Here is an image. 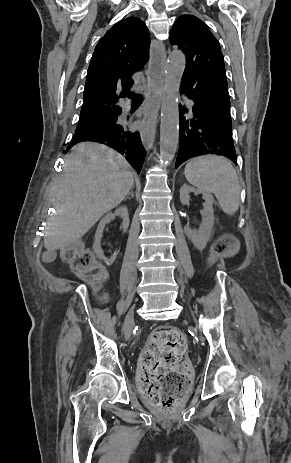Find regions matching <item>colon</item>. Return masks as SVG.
<instances>
[{"mask_svg": "<svg viewBox=\"0 0 291 463\" xmlns=\"http://www.w3.org/2000/svg\"><path fill=\"white\" fill-rule=\"evenodd\" d=\"M231 235L223 236L214 246L219 256L234 248ZM62 260L82 279L100 288L106 272L93 253L79 243L62 249ZM186 337L174 327L156 330L140 357V386L144 397L163 412L170 413L190 384L185 355Z\"/></svg>", "mask_w": 291, "mask_h": 463, "instance_id": "colon-1", "label": "colon"}]
</instances>
